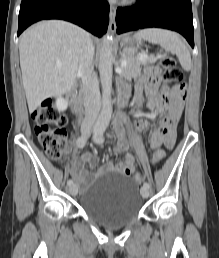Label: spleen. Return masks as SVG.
<instances>
[{
    "label": "spleen",
    "instance_id": "spleen-1",
    "mask_svg": "<svg viewBox=\"0 0 219 258\" xmlns=\"http://www.w3.org/2000/svg\"><path fill=\"white\" fill-rule=\"evenodd\" d=\"M134 38L137 40L143 39L149 41L150 43L158 44L166 51L176 54L181 66L185 70H190V52L177 33L165 29L148 28L136 32L134 34Z\"/></svg>",
    "mask_w": 219,
    "mask_h": 258
}]
</instances>
